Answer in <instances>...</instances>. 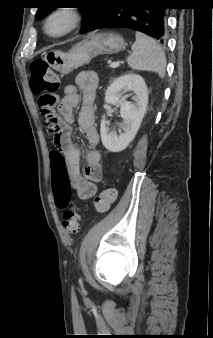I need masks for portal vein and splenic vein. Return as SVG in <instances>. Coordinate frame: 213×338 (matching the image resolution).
<instances>
[{
  "label": "portal vein and splenic vein",
  "mask_w": 213,
  "mask_h": 338,
  "mask_svg": "<svg viewBox=\"0 0 213 338\" xmlns=\"http://www.w3.org/2000/svg\"><path fill=\"white\" fill-rule=\"evenodd\" d=\"M109 64H110V67H111V68H116V67L119 66L120 63H119V61H118V62H110Z\"/></svg>",
  "instance_id": "1"
}]
</instances>
